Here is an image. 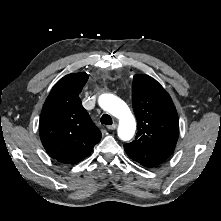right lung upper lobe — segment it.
Returning a JSON list of instances; mask_svg holds the SVG:
<instances>
[{
  "label": "right lung upper lobe",
  "instance_id": "obj_1",
  "mask_svg": "<svg viewBox=\"0 0 221 221\" xmlns=\"http://www.w3.org/2000/svg\"><path fill=\"white\" fill-rule=\"evenodd\" d=\"M88 77L85 72L64 76L52 88L42 108L41 142L51 157L64 164L82 161L102 136L79 98Z\"/></svg>",
  "mask_w": 221,
  "mask_h": 221
}]
</instances>
